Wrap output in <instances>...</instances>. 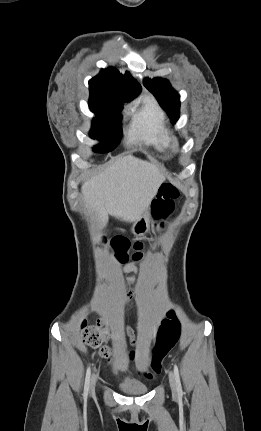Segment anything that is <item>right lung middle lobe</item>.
I'll return each instance as SVG.
<instances>
[{"mask_svg": "<svg viewBox=\"0 0 261 431\" xmlns=\"http://www.w3.org/2000/svg\"><path fill=\"white\" fill-rule=\"evenodd\" d=\"M113 95L90 91L89 107L96 117L92 121L90 136L98 139L100 144L94 147L95 152L112 151L121 139V111L123 102Z\"/></svg>", "mask_w": 261, "mask_h": 431, "instance_id": "obj_1", "label": "right lung middle lobe"}]
</instances>
